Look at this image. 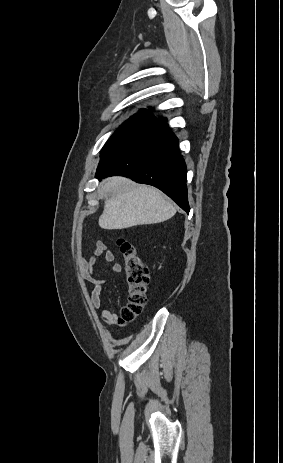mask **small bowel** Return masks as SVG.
I'll return each instance as SVG.
<instances>
[{"label": "small bowel", "instance_id": "1", "mask_svg": "<svg viewBox=\"0 0 283 463\" xmlns=\"http://www.w3.org/2000/svg\"><path fill=\"white\" fill-rule=\"evenodd\" d=\"M104 257V260L108 263H113V271L115 273L122 272V265L115 262L114 253L107 249V245L103 240H97L93 254L89 258L83 257L80 261L83 276L85 280L93 285V289L90 293V301L94 308L99 309L101 306V295L107 282L105 279L97 278L93 274V269L100 257ZM118 314L112 312L110 309L105 308L101 312V320L107 324H112L117 321Z\"/></svg>", "mask_w": 283, "mask_h": 463}]
</instances>
